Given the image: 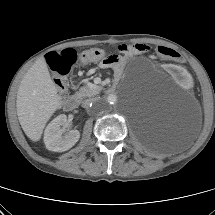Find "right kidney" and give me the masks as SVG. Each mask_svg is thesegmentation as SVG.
<instances>
[{
	"mask_svg": "<svg viewBox=\"0 0 215 215\" xmlns=\"http://www.w3.org/2000/svg\"><path fill=\"white\" fill-rule=\"evenodd\" d=\"M67 122V116L61 114L53 119L45 129L44 143L46 148L54 152H64L72 148L80 138L78 130H71L64 134L61 126Z\"/></svg>",
	"mask_w": 215,
	"mask_h": 215,
	"instance_id": "ca27d5eb",
	"label": "right kidney"
}]
</instances>
